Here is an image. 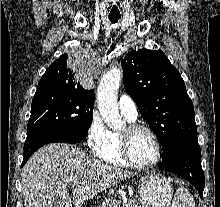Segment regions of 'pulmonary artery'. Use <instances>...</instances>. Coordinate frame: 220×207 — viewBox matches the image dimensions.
Returning a JSON list of instances; mask_svg holds the SVG:
<instances>
[{"label":"pulmonary artery","mask_w":220,"mask_h":207,"mask_svg":"<svg viewBox=\"0 0 220 207\" xmlns=\"http://www.w3.org/2000/svg\"><path fill=\"white\" fill-rule=\"evenodd\" d=\"M118 106L121 113L131 119L134 120L137 117V107L133 99L128 95H121L118 99Z\"/></svg>","instance_id":"e3ab8cb5"}]
</instances>
